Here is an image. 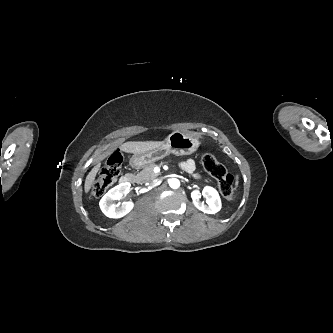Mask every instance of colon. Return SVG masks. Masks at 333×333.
<instances>
[{
	"mask_svg": "<svg viewBox=\"0 0 333 333\" xmlns=\"http://www.w3.org/2000/svg\"><path fill=\"white\" fill-rule=\"evenodd\" d=\"M122 161V153L118 150L109 156L106 165L92 185V198H99L116 182L120 174ZM201 161L204 169L218 182L219 190L222 195L227 200L233 201L236 198L233 175L229 173L227 168L210 153L203 154Z\"/></svg>",
	"mask_w": 333,
	"mask_h": 333,
	"instance_id": "colon-1",
	"label": "colon"
}]
</instances>
